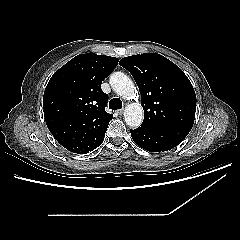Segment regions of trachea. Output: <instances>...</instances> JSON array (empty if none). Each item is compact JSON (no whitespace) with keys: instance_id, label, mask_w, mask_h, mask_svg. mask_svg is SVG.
Instances as JSON below:
<instances>
[{"instance_id":"trachea-1","label":"trachea","mask_w":240,"mask_h":240,"mask_svg":"<svg viewBox=\"0 0 240 240\" xmlns=\"http://www.w3.org/2000/svg\"><path fill=\"white\" fill-rule=\"evenodd\" d=\"M109 108L112 110H118L122 108V101L119 98H113L109 102Z\"/></svg>"}]
</instances>
